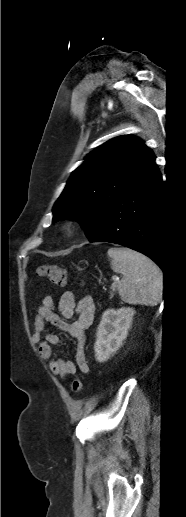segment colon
I'll use <instances>...</instances> for the list:
<instances>
[{
  "label": "colon",
  "mask_w": 186,
  "mask_h": 517,
  "mask_svg": "<svg viewBox=\"0 0 186 517\" xmlns=\"http://www.w3.org/2000/svg\"><path fill=\"white\" fill-rule=\"evenodd\" d=\"M40 277L46 278L52 284L64 285L67 282V271L55 265H42L37 271ZM71 389L74 393H79L82 390V380L74 376L71 382Z\"/></svg>",
  "instance_id": "colon-1"
}]
</instances>
